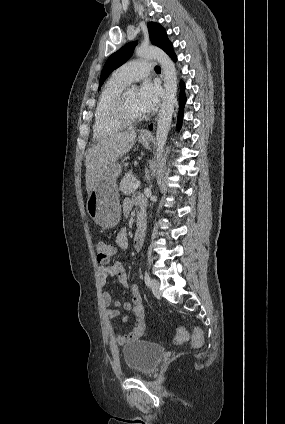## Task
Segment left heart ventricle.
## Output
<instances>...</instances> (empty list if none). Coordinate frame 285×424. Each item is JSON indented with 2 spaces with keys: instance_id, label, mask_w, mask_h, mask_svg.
Returning <instances> with one entry per match:
<instances>
[{
  "instance_id": "b2bd125f",
  "label": "left heart ventricle",
  "mask_w": 285,
  "mask_h": 424,
  "mask_svg": "<svg viewBox=\"0 0 285 424\" xmlns=\"http://www.w3.org/2000/svg\"><path fill=\"white\" fill-rule=\"evenodd\" d=\"M137 94L135 92H127L125 94V102H126V109L129 115L138 117L142 116L143 114L139 111L137 107Z\"/></svg>"
}]
</instances>
